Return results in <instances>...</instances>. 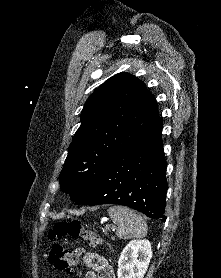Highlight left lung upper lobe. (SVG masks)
Returning <instances> with one entry per match:
<instances>
[{"label":"left lung upper lobe","mask_w":221,"mask_h":278,"mask_svg":"<svg viewBox=\"0 0 221 278\" xmlns=\"http://www.w3.org/2000/svg\"><path fill=\"white\" fill-rule=\"evenodd\" d=\"M159 119L155 97L142 81L129 73L105 81L81 112V125L60 173L63 191L77 204L115 156Z\"/></svg>","instance_id":"left-lung-upper-lobe-1"}]
</instances>
